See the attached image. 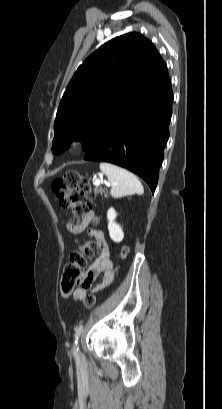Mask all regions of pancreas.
<instances>
[{
  "label": "pancreas",
  "instance_id": "obj_1",
  "mask_svg": "<svg viewBox=\"0 0 222 409\" xmlns=\"http://www.w3.org/2000/svg\"><path fill=\"white\" fill-rule=\"evenodd\" d=\"M95 193L98 194L100 193L101 195H104L105 197L107 196V190L103 189V188H95Z\"/></svg>",
  "mask_w": 222,
  "mask_h": 409
}]
</instances>
